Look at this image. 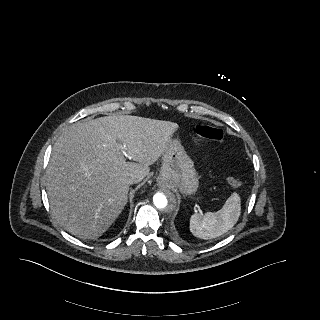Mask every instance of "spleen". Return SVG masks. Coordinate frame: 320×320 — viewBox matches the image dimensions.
<instances>
[{
  "label": "spleen",
  "instance_id": "obj_1",
  "mask_svg": "<svg viewBox=\"0 0 320 320\" xmlns=\"http://www.w3.org/2000/svg\"><path fill=\"white\" fill-rule=\"evenodd\" d=\"M240 202L239 195L234 192L219 211L207 212L204 215L193 214L190 218L191 233L201 239L216 238L226 233L239 219Z\"/></svg>",
  "mask_w": 320,
  "mask_h": 320
}]
</instances>
